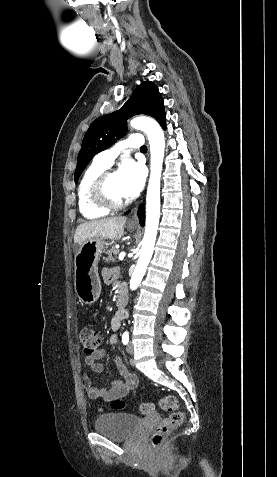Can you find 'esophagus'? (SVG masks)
<instances>
[{
	"label": "esophagus",
	"mask_w": 277,
	"mask_h": 477,
	"mask_svg": "<svg viewBox=\"0 0 277 477\" xmlns=\"http://www.w3.org/2000/svg\"><path fill=\"white\" fill-rule=\"evenodd\" d=\"M136 211H137V208L135 209L134 214L132 215V217L129 220V223L132 224V225L138 224V217H137Z\"/></svg>",
	"instance_id": "34e87169"
}]
</instances>
